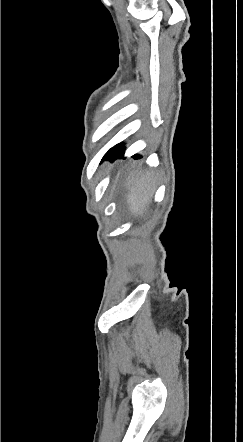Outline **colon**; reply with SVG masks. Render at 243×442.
I'll return each mask as SVG.
<instances>
[{"label": "colon", "mask_w": 243, "mask_h": 442, "mask_svg": "<svg viewBox=\"0 0 243 442\" xmlns=\"http://www.w3.org/2000/svg\"><path fill=\"white\" fill-rule=\"evenodd\" d=\"M130 260H137V257H130Z\"/></svg>", "instance_id": "5ec220e1"}]
</instances>
